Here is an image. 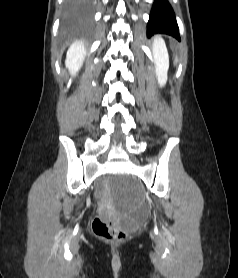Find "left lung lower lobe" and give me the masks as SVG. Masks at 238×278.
Segmentation results:
<instances>
[{"mask_svg": "<svg viewBox=\"0 0 238 278\" xmlns=\"http://www.w3.org/2000/svg\"><path fill=\"white\" fill-rule=\"evenodd\" d=\"M164 33L180 40L178 25L167 0H155L147 25V36Z\"/></svg>", "mask_w": 238, "mask_h": 278, "instance_id": "1", "label": "left lung lower lobe"}]
</instances>
